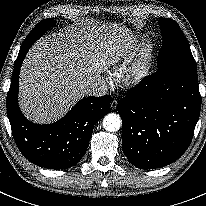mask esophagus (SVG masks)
<instances>
[{
	"mask_svg": "<svg viewBox=\"0 0 206 206\" xmlns=\"http://www.w3.org/2000/svg\"><path fill=\"white\" fill-rule=\"evenodd\" d=\"M111 109L112 110H116L117 109V106H118V101L117 100H113L112 102H111Z\"/></svg>",
	"mask_w": 206,
	"mask_h": 206,
	"instance_id": "esophagus-1",
	"label": "esophagus"
}]
</instances>
